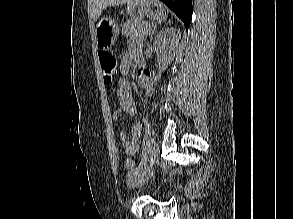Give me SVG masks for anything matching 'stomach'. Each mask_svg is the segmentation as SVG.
I'll use <instances>...</instances> for the list:
<instances>
[{
  "label": "stomach",
  "mask_w": 293,
  "mask_h": 219,
  "mask_svg": "<svg viewBox=\"0 0 293 219\" xmlns=\"http://www.w3.org/2000/svg\"><path fill=\"white\" fill-rule=\"evenodd\" d=\"M126 14L135 20H141L144 17L153 20H163L166 18V11L159 0H139L127 4ZM120 25L118 21L111 16L102 17L95 28L96 45L101 50H110L119 35Z\"/></svg>",
  "instance_id": "stomach-1"
}]
</instances>
